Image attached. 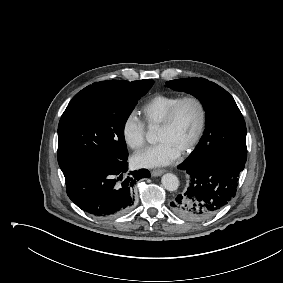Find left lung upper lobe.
<instances>
[{"mask_svg":"<svg viewBox=\"0 0 283 283\" xmlns=\"http://www.w3.org/2000/svg\"><path fill=\"white\" fill-rule=\"evenodd\" d=\"M166 85L195 96L206 110L204 134L185 164L194 166L213 159L246 162L245 121L226 90L204 78L177 79L167 81Z\"/></svg>","mask_w":283,"mask_h":283,"instance_id":"5c2ea615","label":"left lung upper lobe"}]
</instances>
